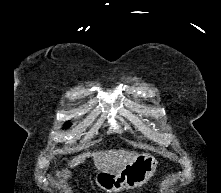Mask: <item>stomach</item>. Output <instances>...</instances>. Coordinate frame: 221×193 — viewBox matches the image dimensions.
<instances>
[{"mask_svg": "<svg viewBox=\"0 0 221 193\" xmlns=\"http://www.w3.org/2000/svg\"><path fill=\"white\" fill-rule=\"evenodd\" d=\"M158 161L149 154H139L121 170H99L95 176L97 186L108 193L134 189L145 184L156 171Z\"/></svg>", "mask_w": 221, "mask_h": 193, "instance_id": "1", "label": "stomach"}]
</instances>
